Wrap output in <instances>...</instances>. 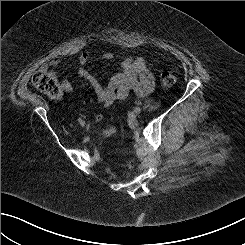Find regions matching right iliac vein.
Here are the masks:
<instances>
[{
  "label": "right iliac vein",
  "instance_id": "obj_1",
  "mask_svg": "<svg viewBox=\"0 0 245 245\" xmlns=\"http://www.w3.org/2000/svg\"><path fill=\"white\" fill-rule=\"evenodd\" d=\"M80 125H81L82 127H84V126H85V122L83 121Z\"/></svg>",
  "mask_w": 245,
  "mask_h": 245
}]
</instances>
